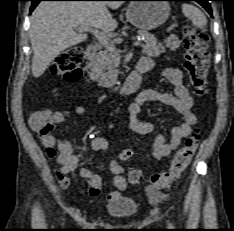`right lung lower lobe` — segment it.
<instances>
[{"label":"right lung lower lobe","instance_id":"obj_1","mask_svg":"<svg viewBox=\"0 0 234 231\" xmlns=\"http://www.w3.org/2000/svg\"><path fill=\"white\" fill-rule=\"evenodd\" d=\"M30 1L32 2V6L30 9V13H31L40 1H92V0H30ZM109 1H112V0H109Z\"/></svg>","mask_w":234,"mask_h":231}]
</instances>
